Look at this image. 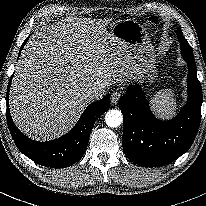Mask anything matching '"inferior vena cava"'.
<instances>
[{
    "mask_svg": "<svg viewBox=\"0 0 206 206\" xmlns=\"http://www.w3.org/2000/svg\"><path fill=\"white\" fill-rule=\"evenodd\" d=\"M104 95H105V90L100 89V88L91 89L88 92V97L91 101L98 100V99L102 98Z\"/></svg>",
    "mask_w": 206,
    "mask_h": 206,
    "instance_id": "1",
    "label": "inferior vena cava"
}]
</instances>
